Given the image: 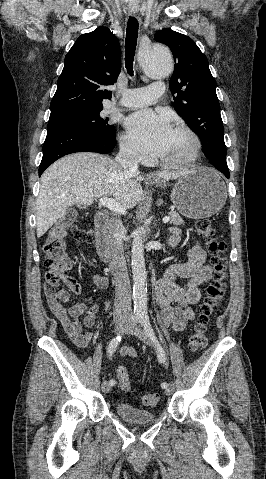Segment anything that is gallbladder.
Listing matches in <instances>:
<instances>
[{
	"instance_id": "bac80fb5",
	"label": "gallbladder",
	"mask_w": 266,
	"mask_h": 479,
	"mask_svg": "<svg viewBox=\"0 0 266 479\" xmlns=\"http://www.w3.org/2000/svg\"><path fill=\"white\" fill-rule=\"evenodd\" d=\"M77 206H78L79 208H85V205H83V204H78Z\"/></svg>"
}]
</instances>
